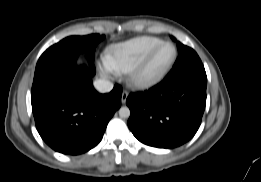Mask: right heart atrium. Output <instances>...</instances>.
Here are the masks:
<instances>
[{
    "mask_svg": "<svg viewBox=\"0 0 261 182\" xmlns=\"http://www.w3.org/2000/svg\"><path fill=\"white\" fill-rule=\"evenodd\" d=\"M101 68L102 71L105 75H109L112 71L111 66L109 65V63L107 62V60H103L101 63Z\"/></svg>",
    "mask_w": 261,
    "mask_h": 182,
    "instance_id": "1",
    "label": "right heart atrium"
}]
</instances>
